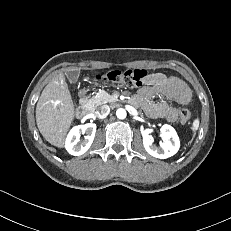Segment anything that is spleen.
I'll return each mask as SVG.
<instances>
[{"label":"spleen","mask_w":231,"mask_h":231,"mask_svg":"<svg viewBox=\"0 0 231 231\" xmlns=\"http://www.w3.org/2000/svg\"><path fill=\"white\" fill-rule=\"evenodd\" d=\"M198 127H199V119H195L191 127L194 134L198 130Z\"/></svg>","instance_id":"3e777b00"}]
</instances>
